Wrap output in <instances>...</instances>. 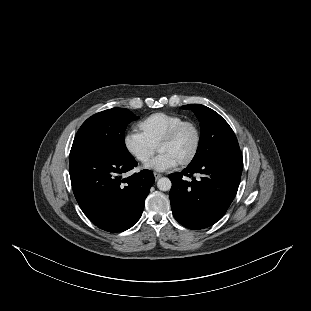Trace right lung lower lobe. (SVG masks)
Here are the masks:
<instances>
[{"label":"right lung lower lobe","mask_w":311,"mask_h":311,"mask_svg":"<svg viewBox=\"0 0 311 311\" xmlns=\"http://www.w3.org/2000/svg\"><path fill=\"white\" fill-rule=\"evenodd\" d=\"M136 165L133 156L101 149L85 150L70 157L75 198L84 214L100 229L122 232L141 217L155 178L151 171L143 170L122 179L121 175Z\"/></svg>","instance_id":"right-lung-lower-lobe-1"}]
</instances>
